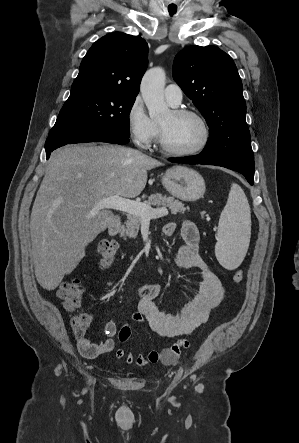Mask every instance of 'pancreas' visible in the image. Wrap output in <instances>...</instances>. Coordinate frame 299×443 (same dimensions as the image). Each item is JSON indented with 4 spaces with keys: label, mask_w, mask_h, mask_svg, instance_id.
Listing matches in <instances>:
<instances>
[{
    "label": "pancreas",
    "mask_w": 299,
    "mask_h": 443,
    "mask_svg": "<svg viewBox=\"0 0 299 443\" xmlns=\"http://www.w3.org/2000/svg\"><path fill=\"white\" fill-rule=\"evenodd\" d=\"M144 204L149 206H156L158 208H168L174 215H176L177 213H184L186 210L184 204L179 200H175L173 197L163 196L159 193L152 194L148 198V200L144 201ZM141 221V217L135 214H128L127 221L125 222L126 227L122 228L120 231L121 237L125 238L126 236H128L130 238H135L138 234Z\"/></svg>",
    "instance_id": "1"
}]
</instances>
